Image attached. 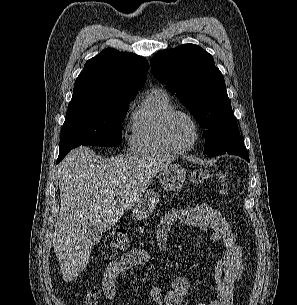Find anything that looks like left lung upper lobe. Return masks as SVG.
I'll return each mask as SVG.
<instances>
[{"mask_svg":"<svg viewBox=\"0 0 297 305\" xmlns=\"http://www.w3.org/2000/svg\"><path fill=\"white\" fill-rule=\"evenodd\" d=\"M152 74L176 94L202 128L204 153L209 156L248 153L220 70L212 55L194 44L155 54L150 62Z\"/></svg>","mask_w":297,"mask_h":305,"instance_id":"obj_1","label":"left lung upper lobe"}]
</instances>
